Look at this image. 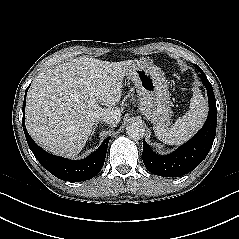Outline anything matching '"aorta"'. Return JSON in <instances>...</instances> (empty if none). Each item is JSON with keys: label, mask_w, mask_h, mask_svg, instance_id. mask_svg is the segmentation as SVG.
<instances>
[{"label": "aorta", "mask_w": 239, "mask_h": 239, "mask_svg": "<svg viewBox=\"0 0 239 239\" xmlns=\"http://www.w3.org/2000/svg\"><path fill=\"white\" fill-rule=\"evenodd\" d=\"M126 133L130 138L138 140L144 136L145 128L142 123L133 122L127 126Z\"/></svg>", "instance_id": "aorta-1"}]
</instances>
